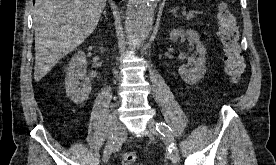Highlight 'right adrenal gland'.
Masks as SVG:
<instances>
[{
    "label": "right adrenal gland",
    "instance_id": "2a0ac1e0",
    "mask_svg": "<svg viewBox=\"0 0 276 165\" xmlns=\"http://www.w3.org/2000/svg\"><path fill=\"white\" fill-rule=\"evenodd\" d=\"M106 9L104 10V12H103V16L107 19V15H106Z\"/></svg>",
    "mask_w": 276,
    "mask_h": 165
}]
</instances>
